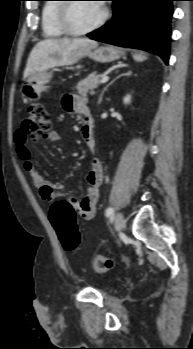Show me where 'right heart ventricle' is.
I'll return each mask as SVG.
<instances>
[{
	"label": "right heart ventricle",
	"mask_w": 193,
	"mask_h": 349,
	"mask_svg": "<svg viewBox=\"0 0 193 349\" xmlns=\"http://www.w3.org/2000/svg\"><path fill=\"white\" fill-rule=\"evenodd\" d=\"M55 1L60 0H48V2L44 4L41 12V29L43 37L46 39H57L65 35L57 23V14L60 4Z\"/></svg>",
	"instance_id": "e07e8e85"
}]
</instances>
